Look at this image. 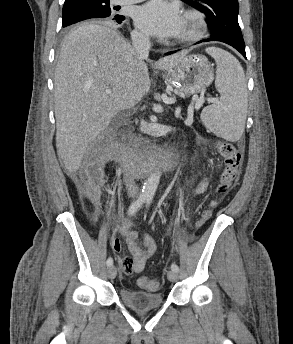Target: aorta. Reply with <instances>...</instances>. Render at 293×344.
Listing matches in <instances>:
<instances>
[{
    "mask_svg": "<svg viewBox=\"0 0 293 344\" xmlns=\"http://www.w3.org/2000/svg\"><path fill=\"white\" fill-rule=\"evenodd\" d=\"M155 135L156 134L153 132L152 136L155 137ZM159 181H160V172L158 168H155V170L150 173V175L148 176V178L146 179L144 183L143 190H142L143 195L147 197H153L158 187Z\"/></svg>",
    "mask_w": 293,
    "mask_h": 344,
    "instance_id": "1",
    "label": "aorta"
}]
</instances>
